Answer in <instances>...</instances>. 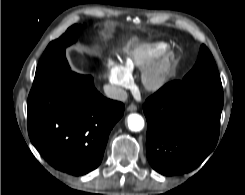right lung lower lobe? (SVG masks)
<instances>
[{
	"mask_svg": "<svg viewBox=\"0 0 245 195\" xmlns=\"http://www.w3.org/2000/svg\"><path fill=\"white\" fill-rule=\"evenodd\" d=\"M27 110L36 149L55 169L80 176L101 163L124 105L103 97L91 76L70 72L32 87Z\"/></svg>",
	"mask_w": 245,
	"mask_h": 195,
	"instance_id": "right-lung-lower-lobe-1",
	"label": "right lung lower lobe"
}]
</instances>
